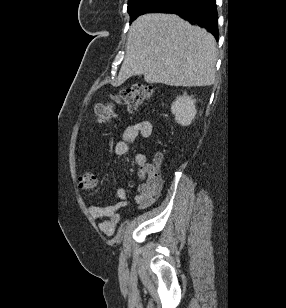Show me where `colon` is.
Listing matches in <instances>:
<instances>
[{"instance_id":"obj_1","label":"colon","mask_w":286,"mask_h":308,"mask_svg":"<svg viewBox=\"0 0 286 308\" xmlns=\"http://www.w3.org/2000/svg\"><path fill=\"white\" fill-rule=\"evenodd\" d=\"M153 90L146 85H134L131 88L114 95L112 101L106 103H99L95 107L98 117V122L101 124H108L115 116V107L117 105L124 107L126 110L135 111L144 101L153 97ZM158 175V172H153ZM98 174L94 171H87L82 173L78 178V187L80 190H90L98 183Z\"/></svg>"}]
</instances>
